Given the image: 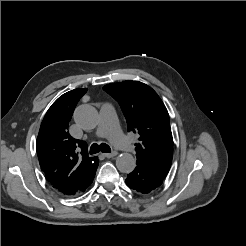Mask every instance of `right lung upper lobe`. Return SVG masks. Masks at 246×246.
I'll use <instances>...</instances> for the list:
<instances>
[{"label":"right lung upper lobe","mask_w":246,"mask_h":246,"mask_svg":"<svg viewBox=\"0 0 246 246\" xmlns=\"http://www.w3.org/2000/svg\"><path fill=\"white\" fill-rule=\"evenodd\" d=\"M87 89H74L60 96L41 123L36 150L41 170L48 182L63 195L79 194L90 184L98 158L89 157L87 144L73 138L68 124Z\"/></svg>","instance_id":"cb5924a9"}]
</instances>
